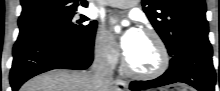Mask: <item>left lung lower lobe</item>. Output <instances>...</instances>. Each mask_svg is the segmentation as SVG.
I'll list each match as a JSON object with an SVG mask.
<instances>
[{
    "instance_id": "left-lung-lower-lobe-1",
    "label": "left lung lower lobe",
    "mask_w": 220,
    "mask_h": 91,
    "mask_svg": "<svg viewBox=\"0 0 220 91\" xmlns=\"http://www.w3.org/2000/svg\"><path fill=\"white\" fill-rule=\"evenodd\" d=\"M215 81L210 43H195L177 48L171 56L170 68L162 76L149 81H133L130 89L137 91L182 82L199 91H214Z\"/></svg>"
}]
</instances>
